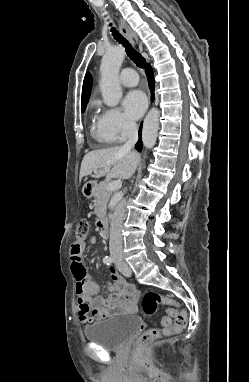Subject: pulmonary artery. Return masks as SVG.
I'll list each match as a JSON object with an SVG mask.
<instances>
[{
  "label": "pulmonary artery",
  "instance_id": "pulmonary-artery-1",
  "mask_svg": "<svg viewBox=\"0 0 249 382\" xmlns=\"http://www.w3.org/2000/svg\"><path fill=\"white\" fill-rule=\"evenodd\" d=\"M120 83L127 87H133L138 84L139 78L135 70L125 68L120 73Z\"/></svg>",
  "mask_w": 249,
  "mask_h": 382
}]
</instances>
